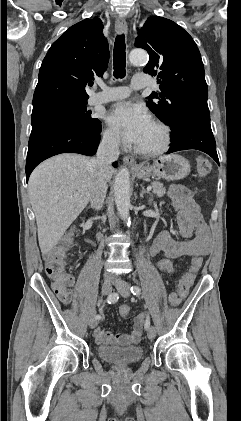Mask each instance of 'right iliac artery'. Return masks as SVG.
<instances>
[{
	"label": "right iliac artery",
	"instance_id": "82829eb1",
	"mask_svg": "<svg viewBox=\"0 0 241 421\" xmlns=\"http://www.w3.org/2000/svg\"><path fill=\"white\" fill-rule=\"evenodd\" d=\"M118 294H116V293H112V294H110L108 297H107V303L108 304H114L115 302H117V300H118ZM95 318L97 319V320H99L100 318H101V316L100 315H96L95 316Z\"/></svg>",
	"mask_w": 241,
	"mask_h": 421
}]
</instances>
